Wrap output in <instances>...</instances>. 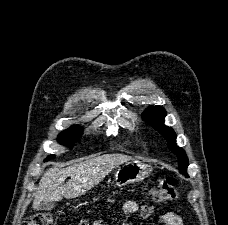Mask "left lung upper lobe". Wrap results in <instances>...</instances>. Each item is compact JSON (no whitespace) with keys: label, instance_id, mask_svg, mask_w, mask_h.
I'll list each match as a JSON object with an SVG mask.
<instances>
[{"label":"left lung upper lobe","instance_id":"5c2ea615","mask_svg":"<svg viewBox=\"0 0 228 225\" xmlns=\"http://www.w3.org/2000/svg\"><path fill=\"white\" fill-rule=\"evenodd\" d=\"M166 116V111L161 106H150L142 114V118L147 121L155 130L164 135L167 140L168 147L177 155L179 161V172L187 175V167L189 165L185 151L178 147L176 142V134L172 128L163 124V119Z\"/></svg>","mask_w":228,"mask_h":225}]
</instances>
